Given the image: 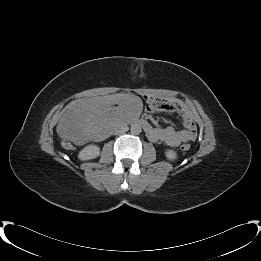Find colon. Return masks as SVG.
<instances>
[{"instance_id": "1", "label": "colon", "mask_w": 261, "mask_h": 261, "mask_svg": "<svg viewBox=\"0 0 261 261\" xmlns=\"http://www.w3.org/2000/svg\"><path fill=\"white\" fill-rule=\"evenodd\" d=\"M180 150L183 151V152H187L190 150V144L188 143H183L181 146H180Z\"/></svg>"}]
</instances>
